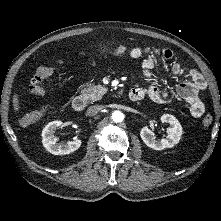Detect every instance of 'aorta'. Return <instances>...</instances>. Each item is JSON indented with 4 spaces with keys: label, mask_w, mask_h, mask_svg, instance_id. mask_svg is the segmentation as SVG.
<instances>
[{
    "label": "aorta",
    "mask_w": 221,
    "mask_h": 221,
    "mask_svg": "<svg viewBox=\"0 0 221 221\" xmlns=\"http://www.w3.org/2000/svg\"><path fill=\"white\" fill-rule=\"evenodd\" d=\"M112 120L116 123L122 122L124 119V115L121 111H114L111 116Z\"/></svg>",
    "instance_id": "1"
}]
</instances>
